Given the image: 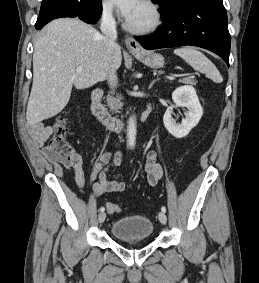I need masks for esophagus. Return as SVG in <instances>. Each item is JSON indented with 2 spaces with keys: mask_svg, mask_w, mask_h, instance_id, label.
I'll return each instance as SVG.
<instances>
[{
  "mask_svg": "<svg viewBox=\"0 0 259 283\" xmlns=\"http://www.w3.org/2000/svg\"><path fill=\"white\" fill-rule=\"evenodd\" d=\"M125 44L128 50L133 54L141 53L142 51L141 45L133 37H126Z\"/></svg>",
  "mask_w": 259,
  "mask_h": 283,
  "instance_id": "obj_1",
  "label": "esophagus"
}]
</instances>
